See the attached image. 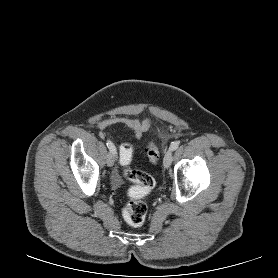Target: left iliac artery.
Segmentation results:
<instances>
[{
	"instance_id": "obj_1",
	"label": "left iliac artery",
	"mask_w": 278,
	"mask_h": 278,
	"mask_svg": "<svg viewBox=\"0 0 278 278\" xmlns=\"http://www.w3.org/2000/svg\"><path fill=\"white\" fill-rule=\"evenodd\" d=\"M179 145H180L179 141L172 142L170 145V150H172V151L176 150L179 147Z\"/></svg>"
}]
</instances>
